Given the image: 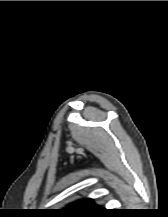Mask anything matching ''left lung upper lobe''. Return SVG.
I'll return each mask as SVG.
<instances>
[{
  "label": "left lung upper lobe",
  "mask_w": 168,
  "mask_h": 217,
  "mask_svg": "<svg viewBox=\"0 0 168 217\" xmlns=\"http://www.w3.org/2000/svg\"><path fill=\"white\" fill-rule=\"evenodd\" d=\"M102 209L94 204L93 199L86 198L74 203H71L64 209L55 211L61 217H85L101 213Z\"/></svg>",
  "instance_id": "5c2ea615"
}]
</instances>
